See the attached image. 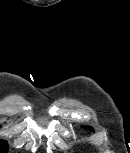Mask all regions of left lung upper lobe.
<instances>
[{"label": "left lung upper lobe", "instance_id": "obj_1", "mask_svg": "<svg viewBox=\"0 0 130 153\" xmlns=\"http://www.w3.org/2000/svg\"><path fill=\"white\" fill-rule=\"evenodd\" d=\"M85 128H88L90 131H94L92 127H85Z\"/></svg>", "mask_w": 130, "mask_h": 153}]
</instances>
